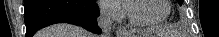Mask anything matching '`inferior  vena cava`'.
<instances>
[{
  "instance_id": "obj_1",
  "label": "inferior vena cava",
  "mask_w": 219,
  "mask_h": 37,
  "mask_svg": "<svg viewBox=\"0 0 219 37\" xmlns=\"http://www.w3.org/2000/svg\"><path fill=\"white\" fill-rule=\"evenodd\" d=\"M115 9L112 6H103L100 8V14L97 17V24L102 30V37H110Z\"/></svg>"
}]
</instances>
